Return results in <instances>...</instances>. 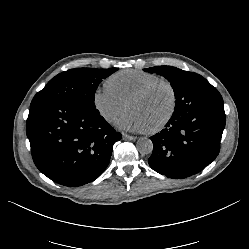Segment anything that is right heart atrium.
<instances>
[{
	"label": "right heart atrium",
	"instance_id": "1",
	"mask_svg": "<svg viewBox=\"0 0 249 249\" xmlns=\"http://www.w3.org/2000/svg\"><path fill=\"white\" fill-rule=\"evenodd\" d=\"M92 100L97 113L108 123L114 122L125 108V101L106 86L95 89Z\"/></svg>",
	"mask_w": 249,
	"mask_h": 249
}]
</instances>
